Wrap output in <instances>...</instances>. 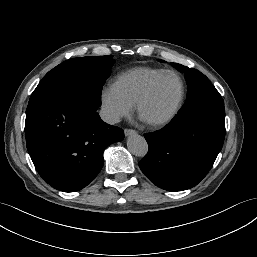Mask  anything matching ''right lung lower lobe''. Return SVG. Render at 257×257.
Returning a JSON list of instances; mask_svg holds the SVG:
<instances>
[{
    "label": "right lung lower lobe",
    "mask_w": 257,
    "mask_h": 257,
    "mask_svg": "<svg viewBox=\"0 0 257 257\" xmlns=\"http://www.w3.org/2000/svg\"><path fill=\"white\" fill-rule=\"evenodd\" d=\"M101 101L80 89L30 98L26 145L40 176L52 187L74 192L87 186L104 164V149L124 138L122 129L103 122Z\"/></svg>",
    "instance_id": "98d812e1"
}]
</instances>
